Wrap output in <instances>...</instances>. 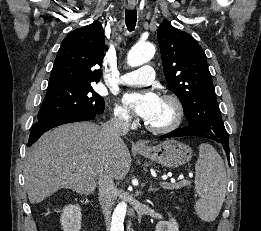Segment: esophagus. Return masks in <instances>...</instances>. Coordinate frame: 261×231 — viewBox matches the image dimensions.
I'll use <instances>...</instances> for the list:
<instances>
[{
    "label": "esophagus",
    "mask_w": 261,
    "mask_h": 231,
    "mask_svg": "<svg viewBox=\"0 0 261 231\" xmlns=\"http://www.w3.org/2000/svg\"><path fill=\"white\" fill-rule=\"evenodd\" d=\"M136 5H137V2L135 0H128V7H129V9H131V10L134 9ZM134 147H136V148H143L144 145L141 142H136L134 144Z\"/></svg>",
    "instance_id": "1"
}]
</instances>
